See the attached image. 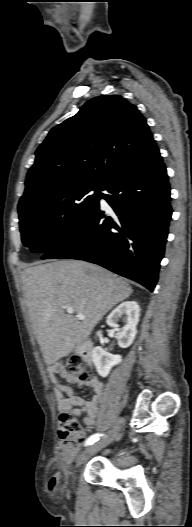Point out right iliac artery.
Returning a JSON list of instances; mask_svg holds the SVG:
<instances>
[{
    "instance_id": "82829eb1",
    "label": "right iliac artery",
    "mask_w": 192,
    "mask_h": 527,
    "mask_svg": "<svg viewBox=\"0 0 192 527\" xmlns=\"http://www.w3.org/2000/svg\"><path fill=\"white\" fill-rule=\"evenodd\" d=\"M103 434L97 433L91 435L85 442V446L92 445L94 442L98 441Z\"/></svg>"
}]
</instances>
